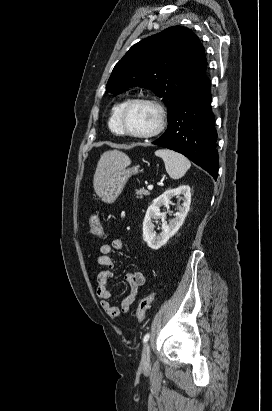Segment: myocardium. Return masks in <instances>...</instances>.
<instances>
[{
  "label": "myocardium",
  "mask_w": 272,
  "mask_h": 411,
  "mask_svg": "<svg viewBox=\"0 0 272 411\" xmlns=\"http://www.w3.org/2000/svg\"><path fill=\"white\" fill-rule=\"evenodd\" d=\"M134 104H146L152 107L157 113V122L155 127L145 133H133L126 129L124 124V117L127 110ZM118 123L121 130L122 135L134 138V139H151L158 136L166 126V112L163 106L156 100L146 97H137L129 99L125 102L123 107L121 108L118 116Z\"/></svg>",
  "instance_id": "1"
}]
</instances>
